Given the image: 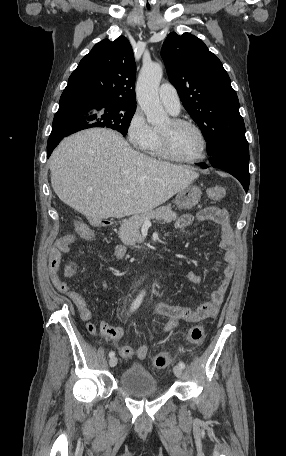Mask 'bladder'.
<instances>
[{"mask_svg":"<svg viewBox=\"0 0 286 456\" xmlns=\"http://www.w3.org/2000/svg\"><path fill=\"white\" fill-rule=\"evenodd\" d=\"M120 387L137 398L154 396L160 393L155 377L140 364L131 365L121 374Z\"/></svg>","mask_w":286,"mask_h":456,"instance_id":"obj_1","label":"bladder"}]
</instances>
